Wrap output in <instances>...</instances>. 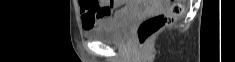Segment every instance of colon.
Wrapping results in <instances>:
<instances>
[{"label": "colon", "instance_id": "5ec220e1", "mask_svg": "<svg viewBox=\"0 0 235 62\" xmlns=\"http://www.w3.org/2000/svg\"><path fill=\"white\" fill-rule=\"evenodd\" d=\"M184 2L182 0H169V7L163 12L143 20L137 28V39L140 45L159 32L162 28L171 25L183 13Z\"/></svg>", "mask_w": 235, "mask_h": 62}]
</instances>
